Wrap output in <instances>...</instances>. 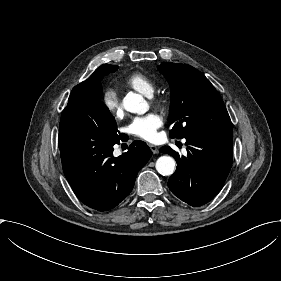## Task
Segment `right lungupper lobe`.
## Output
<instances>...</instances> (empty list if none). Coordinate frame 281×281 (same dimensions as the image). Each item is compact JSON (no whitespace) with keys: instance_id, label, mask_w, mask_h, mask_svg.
<instances>
[{"instance_id":"right-lung-upper-lobe-1","label":"right lung upper lobe","mask_w":281,"mask_h":281,"mask_svg":"<svg viewBox=\"0 0 281 281\" xmlns=\"http://www.w3.org/2000/svg\"><path fill=\"white\" fill-rule=\"evenodd\" d=\"M115 65L103 64L96 71L88 78L86 81L79 84V86L83 85H95L101 89L100 79L103 77L104 74H108L113 71Z\"/></svg>"}]
</instances>
